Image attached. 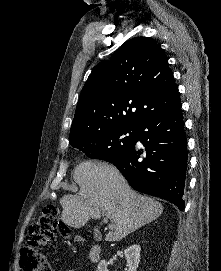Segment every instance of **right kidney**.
Masks as SVG:
<instances>
[{
    "label": "right kidney",
    "instance_id": "1",
    "mask_svg": "<svg viewBox=\"0 0 221 271\" xmlns=\"http://www.w3.org/2000/svg\"><path fill=\"white\" fill-rule=\"evenodd\" d=\"M124 253L127 259V271H137L141 253L140 245H138V243H133V245H130V247L124 249ZM108 265L109 263H107L106 259H101L97 265L96 271H109Z\"/></svg>",
    "mask_w": 221,
    "mask_h": 271
}]
</instances>
